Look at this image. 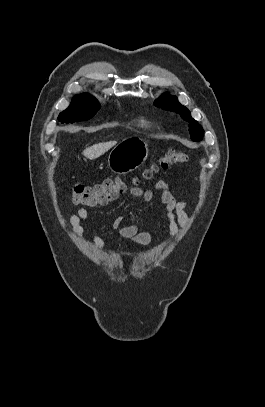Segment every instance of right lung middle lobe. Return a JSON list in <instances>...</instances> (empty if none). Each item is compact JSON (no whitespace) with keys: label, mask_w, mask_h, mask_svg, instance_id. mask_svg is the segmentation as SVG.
<instances>
[{"label":"right lung middle lobe","mask_w":265,"mask_h":407,"mask_svg":"<svg viewBox=\"0 0 265 407\" xmlns=\"http://www.w3.org/2000/svg\"><path fill=\"white\" fill-rule=\"evenodd\" d=\"M99 108L98 101L91 95H77L73 98L71 105L59 114L58 120L61 123L89 120L97 113Z\"/></svg>","instance_id":"dd1d6c3e"}]
</instances>
